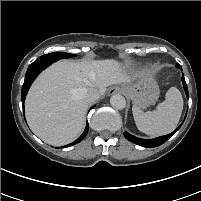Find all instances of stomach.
Instances as JSON below:
<instances>
[{
  "label": "stomach",
  "mask_w": 201,
  "mask_h": 201,
  "mask_svg": "<svg viewBox=\"0 0 201 201\" xmlns=\"http://www.w3.org/2000/svg\"><path fill=\"white\" fill-rule=\"evenodd\" d=\"M121 92L139 109L154 104L159 97V87L150 71L144 72L136 81L121 84Z\"/></svg>",
  "instance_id": "0dacf381"
}]
</instances>
